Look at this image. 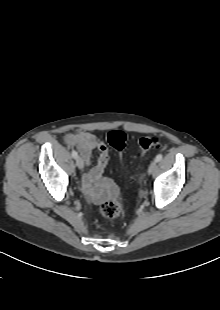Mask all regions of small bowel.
<instances>
[{"mask_svg": "<svg viewBox=\"0 0 220 310\" xmlns=\"http://www.w3.org/2000/svg\"><path fill=\"white\" fill-rule=\"evenodd\" d=\"M64 142L79 150L84 165L88 167L82 176V189L86 198L95 204L101 203L112 194L115 187L111 179L102 176L109 159L107 147L95 134L81 130L65 134ZM94 150L98 152V159L91 166Z\"/></svg>", "mask_w": 220, "mask_h": 310, "instance_id": "obj_1", "label": "small bowel"}]
</instances>
